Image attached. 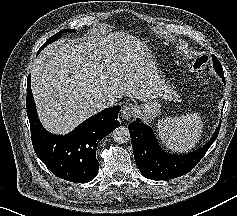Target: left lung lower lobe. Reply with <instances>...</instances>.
I'll use <instances>...</instances> for the list:
<instances>
[{"label": "left lung lower lobe", "instance_id": "1", "mask_svg": "<svg viewBox=\"0 0 237 216\" xmlns=\"http://www.w3.org/2000/svg\"><path fill=\"white\" fill-rule=\"evenodd\" d=\"M225 83V79L223 78ZM220 123L212 139L202 148L189 154L170 155L157 143L152 130L140 119L129 125L132 148L137 167L141 173L153 180L173 179L192 170L206 154L218 136Z\"/></svg>", "mask_w": 237, "mask_h": 216}]
</instances>
